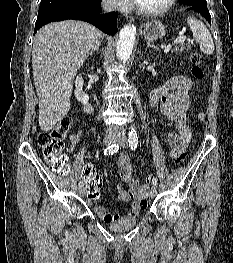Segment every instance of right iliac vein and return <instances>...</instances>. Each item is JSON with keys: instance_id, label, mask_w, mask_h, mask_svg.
Segmentation results:
<instances>
[{"instance_id": "63e3f726", "label": "right iliac vein", "mask_w": 233, "mask_h": 263, "mask_svg": "<svg viewBox=\"0 0 233 263\" xmlns=\"http://www.w3.org/2000/svg\"><path fill=\"white\" fill-rule=\"evenodd\" d=\"M117 139H118V138H117L115 135H113V134H107V135L105 136L103 142L105 143V145H112V144H114V143L117 142ZM85 193H86L85 188H82V187H81V188L79 189V194H80L81 196H84Z\"/></svg>"}]
</instances>
